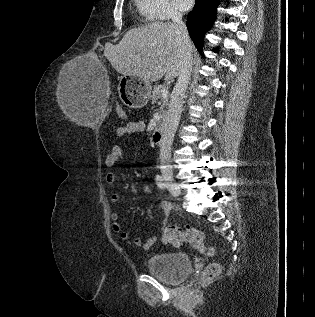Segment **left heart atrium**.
Returning <instances> with one entry per match:
<instances>
[{"mask_svg":"<svg viewBox=\"0 0 315 317\" xmlns=\"http://www.w3.org/2000/svg\"><path fill=\"white\" fill-rule=\"evenodd\" d=\"M174 3L178 9L186 11L193 6L194 0H174Z\"/></svg>","mask_w":315,"mask_h":317,"instance_id":"1","label":"left heart atrium"}]
</instances>
